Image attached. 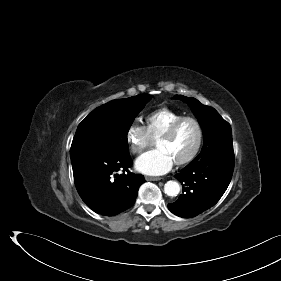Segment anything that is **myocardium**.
Masks as SVG:
<instances>
[{
    "instance_id": "f54148a6",
    "label": "myocardium",
    "mask_w": 281,
    "mask_h": 281,
    "mask_svg": "<svg viewBox=\"0 0 281 281\" xmlns=\"http://www.w3.org/2000/svg\"><path fill=\"white\" fill-rule=\"evenodd\" d=\"M185 121H192L196 125L197 131H198V138H197L196 145H195L194 149L192 150V152L185 158L175 162V164L178 166L189 164L199 154L200 149L203 144V139H204V130H203L201 122L194 116H182V117L178 118L177 120H175L158 139V141H160V140H168V139L172 138L174 136V134L176 133L177 129L179 128V126Z\"/></svg>"
}]
</instances>
